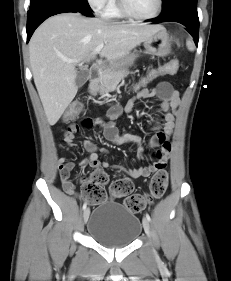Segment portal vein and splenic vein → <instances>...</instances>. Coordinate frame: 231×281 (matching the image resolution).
<instances>
[{
  "label": "portal vein and splenic vein",
  "instance_id": "1",
  "mask_svg": "<svg viewBox=\"0 0 231 281\" xmlns=\"http://www.w3.org/2000/svg\"><path fill=\"white\" fill-rule=\"evenodd\" d=\"M104 44L98 45L94 50L93 53H100V51L103 49ZM78 60H68V62H77Z\"/></svg>",
  "mask_w": 231,
  "mask_h": 281
}]
</instances>
